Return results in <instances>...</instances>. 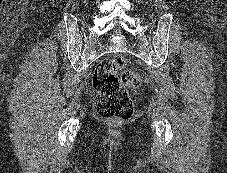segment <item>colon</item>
Returning a JSON list of instances; mask_svg holds the SVG:
<instances>
[{
	"label": "colon",
	"instance_id": "5ec220e1",
	"mask_svg": "<svg viewBox=\"0 0 227 173\" xmlns=\"http://www.w3.org/2000/svg\"><path fill=\"white\" fill-rule=\"evenodd\" d=\"M140 85V75L129 68L121 56L99 62L93 75L97 115L103 119H130L134 106L129 91L138 89Z\"/></svg>",
	"mask_w": 227,
	"mask_h": 173
}]
</instances>
